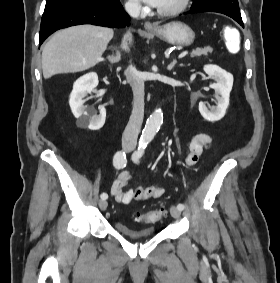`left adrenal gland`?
I'll return each instance as SVG.
<instances>
[{"label": "left adrenal gland", "instance_id": "obj_1", "mask_svg": "<svg viewBox=\"0 0 280 283\" xmlns=\"http://www.w3.org/2000/svg\"><path fill=\"white\" fill-rule=\"evenodd\" d=\"M177 61L173 60L169 65H168V70H172L173 67L176 65Z\"/></svg>", "mask_w": 280, "mask_h": 283}]
</instances>
